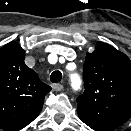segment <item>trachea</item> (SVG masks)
I'll return each mask as SVG.
<instances>
[{
	"label": "trachea",
	"instance_id": "obj_1",
	"mask_svg": "<svg viewBox=\"0 0 131 131\" xmlns=\"http://www.w3.org/2000/svg\"><path fill=\"white\" fill-rule=\"evenodd\" d=\"M62 79V73L60 71H54L52 72L51 76H50V80L53 83H58L60 82V80Z\"/></svg>",
	"mask_w": 131,
	"mask_h": 131
}]
</instances>
